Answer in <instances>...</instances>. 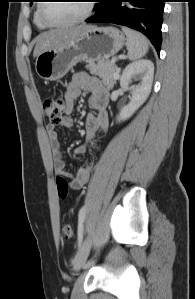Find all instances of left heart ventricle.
<instances>
[{
    "label": "left heart ventricle",
    "instance_id": "obj_1",
    "mask_svg": "<svg viewBox=\"0 0 195 299\" xmlns=\"http://www.w3.org/2000/svg\"><path fill=\"white\" fill-rule=\"evenodd\" d=\"M87 1H52L46 3L43 11L45 16L53 22H64L82 15Z\"/></svg>",
    "mask_w": 195,
    "mask_h": 299
}]
</instances>
